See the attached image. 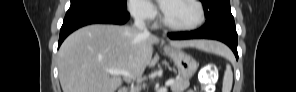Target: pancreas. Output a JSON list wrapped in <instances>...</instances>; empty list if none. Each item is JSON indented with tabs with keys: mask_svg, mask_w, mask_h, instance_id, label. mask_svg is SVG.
<instances>
[{
	"mask_svg": "<svg viewBox=\"0 0 296 92\" xmlns=\"http://www.w3.org/2000/svg\"><path fill=\"white\" fill-rule=\"evenodd\" d=\"M189 80L178 77L174 83L171 85L172 92H183L189 87Z\"/></svg>",
	"mask_w": 296,
	"mask_h": 92,
	"instance_id": "1",
	"label": "pancreas"
}]
</instances>
